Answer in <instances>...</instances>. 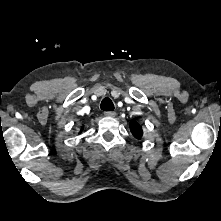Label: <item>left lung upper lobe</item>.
<instances>
[{
    "label": "left lung upper lobe",
    "mask_w": 221,
    "mask_h": 221,
    "mask_svg": "<svg viewBox=\"0 0 221 221\" xmlns=\"http://www.w3.org/2000/svg\"><path fill=\"white\" fill-rule=\"evenodd\" d=\"M130 130H131L133 136L137 139H140L143 135V131H142L141 126L134 120H132L130 122Z\"/></svg>",
    "instance_id": "obj_1"
}]
</instances>
